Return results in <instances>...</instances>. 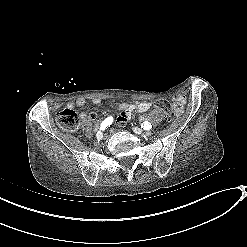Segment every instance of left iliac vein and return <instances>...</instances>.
Segmentation results:
<instances>
[{
	"label": "left iliac vein",
	"mask_w": 247,
	"mask_h": 247,
	"mask_svg": "<svg viewBox=\"0 0 247 247\" xmlns=\"http://www.w3.org/2000/svg\"><path fill=\"white\" fill-rule=\"evenodd\" d=\"M133 131H134L136 134H139V135H143V134H144V132H143L140 128H137V127L133 128Z\"/></svg>",
	"instance_id": "1"
}]
</instances>
